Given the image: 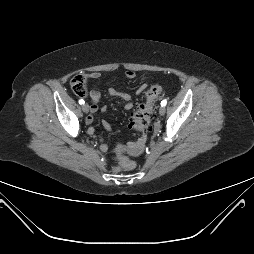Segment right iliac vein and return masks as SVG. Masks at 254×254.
<instances>
[{
  "mask_svg": "<svg viewBox=\"0 0 254 254\" xmlns=\"http://www.w3.org/2000/svg\"><path fill=\"white\" fill-rule=\"evenodd\" d=\"M82 110H83V112L88 113L89 112V105L88 104H83L82 105Z\"/></svg>",
  "mask_w": 254,
  "mask_h": 254,
  "instance_id": "obj_1",
  "label": "right iliac vein"
}]
</instances>
